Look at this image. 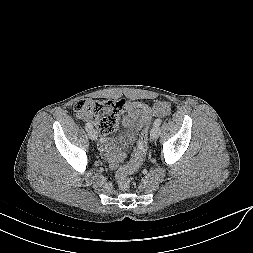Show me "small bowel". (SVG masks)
<instances>
[{
  "label": "small bowel",
  "mask_w": 253,
  "mask_h": 253,
  "mask_svg": "<svg viewBox=\"0 0 253 253\" xmlns=\"http://www.w3.org/2000/svg\"><path fill=\"white\" fill-rule=\"evenodd\" d=\"M125 110L132 121L139 127H143L149 125L154 116H167L170 113V104L165 101H159L153 105L141 101H131L125 103ZM100 147L112 169L117 168L127 157L126 146L121 141H112L108 135H103L100 138Z\"/></svg>",
  "instance_id": "small-bowel-1"
}]
</instances>
